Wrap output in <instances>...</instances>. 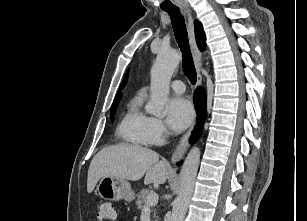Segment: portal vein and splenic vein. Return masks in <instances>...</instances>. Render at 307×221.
<instances>
[{
	"instance_id": "18ae733b",
	"label": "portal vein and splenic vein",
	"mask_w": 307,
	"mask_h": 221,
	"mask_svg": "<svg viewBox=\"0 0 307 221\" xmlns=\"http://www.w3.org/2000/svg\"><path fill=\"white\" fill-rule=\"evenodd\" d=\"M158 203V194L155 192H152L147 196L145 207L154 206Z\"/></svg>"
}]
</instances>
